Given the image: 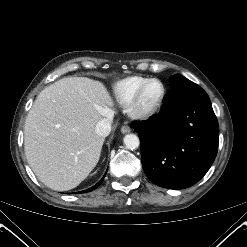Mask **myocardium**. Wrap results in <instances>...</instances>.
<instances>
[{
    "instance_id": "1",
    "label": "myocardium",
    "mask_w": 247,
    "mask_h": 247,
    "mask_svg": "<svg viewBox=\"0 0 247 247\" xmlns=\"http://www.w3.org/2000/svg\"><path fill=\"white\" fill-rule=\"evenodd\" d=\"M155 82L159 83L161 85V88H162L161 96H160L159 100L157 101V103L153 107H151L149 109H142L140 107L141 97H142L145 89L151 83H155ZM165 97H166L165 84L160 79L150 78L146 82H144L135 92L132 100L128 104V112H129L130 116L135 118V119H140V120L148 119V118L154 116L160 110V108L164 102Z\"/></svg>"
}]
</instances>
